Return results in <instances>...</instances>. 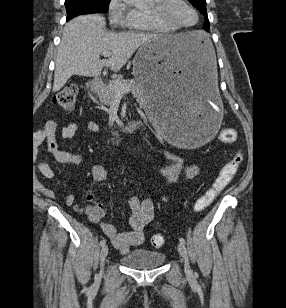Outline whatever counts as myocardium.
Wrapping results in <instances>:
<instances>
[{"mask_svg":"<svg viewBox=\"0 0 286 308\" xmlns=\"http://www.w3.org/2000/svg\"><path fill=\"white\" fill-rule=\"evenodd\" d=\"M173 2H181L189 7L195 13L196 21L193 24L187 26L177 23L170 14L171 5ZM149 11L156 19L176 29H190L195 27L199 22V13L188 0H158L150 7Z\"/></svg>","mask_w":286,"mask_h":308,"instance_id":"myocardium-1","label":"myocardium"}]
</instances>
